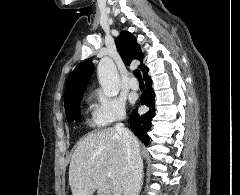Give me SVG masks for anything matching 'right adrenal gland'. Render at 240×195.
Here are the masks:
<instances>
[{
	"label": "right adrenal gland",
	"mask_w": 240,
	"mask_h": 195,
	"mask_svg": "<svg viewBox=\"0 0 240 195\" xmlns=\"http://www.w3.org/2000/svg\"><path fill=\"white\" fill-rule=\"evenodd\" d=\"M142 185H143V179H142V181H141V185H140V189H139V191H141V189H142Z\"/></svg>",
	"instance_id": "2a0ac1e0"
}]
</instances>
